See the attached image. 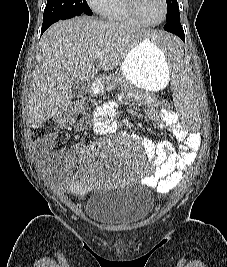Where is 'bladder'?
<instances>
[{"label": "bladder", "mask_w": 227, "mask_h": 267, "mask_svg": "<svg viewBox=\"0 0 227 267\" xmlns=\"http://www.w3.org/2000/svg\"><path fill=\"white\" fill-rule=\"evenodd\" d=\"M153 207L152 195L136 184L116 188H95L86 202L89 218L107 227L139 224L149 216Z\"/></svg>", "instance_id": "obj_1"}]
</instances>
